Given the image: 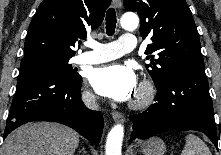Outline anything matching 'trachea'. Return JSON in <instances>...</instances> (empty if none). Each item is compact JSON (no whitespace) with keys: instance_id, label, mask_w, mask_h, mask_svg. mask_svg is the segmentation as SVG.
I'll use <instances>...</instances> for the list:
<instances>
[{"instance_id":"1","label":"trachea","mask_w":221,"mask_h":155,"mask_svg":"<svg viewBox=\"0 0 221 155\" xmlns=\"http://www.w3.org/2000/svg\"><path fill=\"white\" fill-rule=\"evenodd\" d=\"M116 12L113 8L108 9L106 13V33L108 36H112L116 27Z\"/></svg>"}]
</instances>
